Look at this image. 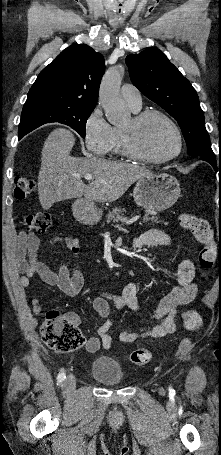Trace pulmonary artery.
<instances>
[{
  "label": "pulmonary artery",
  "instance_id": "e3ab8cb5",
  "mask_svg": "<svg viewBox=\"0 0 221 455\" xmlns=\"http://www.w3.org/2000/svg\"><path fill=\"white\" fill-rule=\"evenodd\" d=\"M121 95L123 99L133 109H139L142 105L141 94L137 87L132 84H124L121 88Z\"/></svg>",
  "mask_w": 221,
  "mask_h": 455
}]
</instances>
